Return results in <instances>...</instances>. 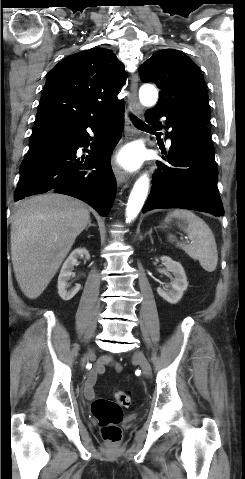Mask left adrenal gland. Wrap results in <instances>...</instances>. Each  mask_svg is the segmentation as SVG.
I'll return each mask as SVG.
<instances>
[{"instance_id":"a2214340","label":"left adrenal gland","mask_w":245,"mask_h":479,"mask_svg":"<svg viewBox=\"0 0 245 479\" xmlns=\"http://www.w3.org/2000/svg\"><path fill=\"white\" fill-rule=\"evenodd\" d=\"M146 235H149L150 240H151V243H153V239H152V229H150V231H149L148 233H146Z\"/></svg>"}]
</instances>
